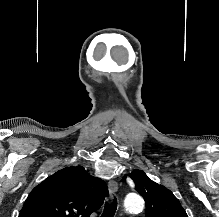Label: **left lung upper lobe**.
<instances>
[{
	"label": "left lung upper lobe",
	"instance_id": "1",
	"mask_svg": "<svg viewBox=\"0 0 219 217\" xmlns=\"http://www.w3.org/2000/svg\"><path fill=\"white\" fill-rule=\"evenodd\" d=\"M128 176L134 181L135 190L145 200L146 217H188L174 194L152 181L142 170H134Z\"/></svg>",
	"mask_w": 219,
	"mask_h": 217
}]
</instances>
